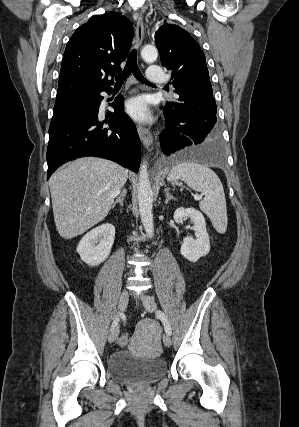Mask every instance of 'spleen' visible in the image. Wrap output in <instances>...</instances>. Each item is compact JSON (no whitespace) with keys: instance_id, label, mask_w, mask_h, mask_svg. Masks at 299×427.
Returning a JSON list of instances; mask_svg holds the SVG:
<instances>
[{"instance_id":"3e777b00","label":"spleen","mask_w":299,"mask_h":427,"mask_svg":"<svg viewBox=\"0 0 299 427\" xmlns=\"http://www.w3.org/2000/svg\"><path fill=\"white\" fill-rule=\"evenodd\" d=\"M178 179L205 195L199 207L209 217L215 230L224 234L228 222L226 198L223 185L215 172L203 164L183 162L174 166L168 175L169 181Z\"/></svg>"}]
</instances>
